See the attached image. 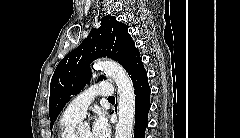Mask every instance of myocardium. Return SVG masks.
Masks as SVG:
<instances>
[{"mask_svg": "<svg viewBox=\"0 0 240 138\" xmlns=\"http://www.w3.org/2000/svg\"><path fill=\"white\" fill-rule=\"evenodd\" d=\"M73 138H79L78 137V133L76 132V133H74V137Z\"/></svg>", "mask_w": 240, "mask_h": 138, "instance_id": "f54148a6", "label": "myocardium"}]
</instances>
